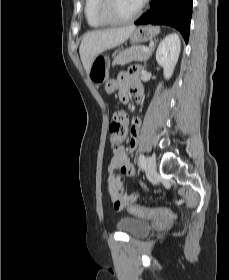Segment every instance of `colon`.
I'll return each mask as SVG.
<instances>
[{
  "instance_id": "5ec220e1",
  "label": "colon",
  "mask_w": 229,
  "mask_h": 280,
  "mask_svg": "<svg viewBox=\"0 0 229 280\" xmlns=\"http://www.w3.org/2000/svg\"><path fill=\"white\" fill-rule=\"evenodd\" d=\"M110 138L109 143L111 148L117 147L125 138L127 133V116L123 112H117L109 126ZM117 208H128L133 214L139 217H155V216H168L172 211L167 208H143L135 206L132 199H117L115 200Z\"/></svg>"
}]
</instances>
